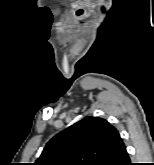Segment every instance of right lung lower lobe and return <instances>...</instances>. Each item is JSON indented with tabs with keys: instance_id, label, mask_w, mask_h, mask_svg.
I'll return each mask as SVG.
<instances>
[{
	"instance_id": "1",
	"label": "right lung lower lobe",
	"mask_w": 154,
	"mask_h": 165,
	"mask_svg": "<svg viewBox=\"0 0 154 165\" xmlns=\"http://www.w3.org/2000/svg\"><path fill=\"white\" fill-rule=\"evenodd\" d=\"M115 153L106 163V165H132L130 162L126 147L122 140H120L115 146Z\"/></svg>"
}]
</instances>
